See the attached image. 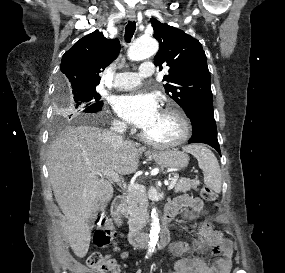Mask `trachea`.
<instances>
[{
  "label": "trachea",
  "instance_id": "3493384b",
  "mask_svg": "<svg viewBox=\"0 0 285 273\" xmlns=\"http://www.w3.org/2000/svg\"><path fill=\"white\" fill-rule=\"evenodd\" d=\"M136 30V22L129 21L125 28V41L130 42Z\"/></svg>",
  "mask_w": 285,
  "mask_h": 273
}]
</instances>
